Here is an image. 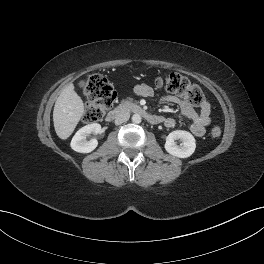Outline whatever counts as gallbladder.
<instances>
[{
  "label": "gallbladder",
  "mask_w": 264,
  "mask_h": 264,
  "mask_svg": "<svg viewBox=\"0 0 264 264\" xmlns=\"http://www.w3.org/2000/svg\"><path fill=\"white\" fill-rule=\"evenodd\" d=\"M84 86V81H81L80 83H79V87H83Z\"/></svg>",
  "instance_id": "obj_1"
}]
</instances>
